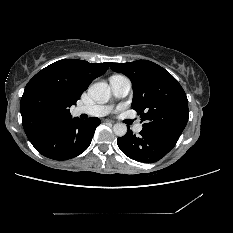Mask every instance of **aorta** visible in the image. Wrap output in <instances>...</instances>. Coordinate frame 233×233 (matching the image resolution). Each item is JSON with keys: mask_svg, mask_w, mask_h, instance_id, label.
<instances>
[{"mask_svg": "<svg viewBox=\"0 0 233 233\" xmlns=\"http://www.w3.org/2000/svg\"><path fill=\"white\" fill-rule=\"evenodd\" d=\"M89 96L98 103H105L110 98V87L106 82H97L88 89ZM115 135L122 137L127 133V126L124 123H116L113 126Z\"/></svg>", "mask_w": 233, "mask_h": 233, "instance_id": "1", "label": "aorta"}]
</instances>
